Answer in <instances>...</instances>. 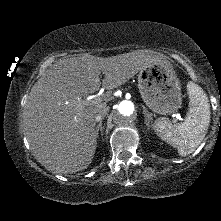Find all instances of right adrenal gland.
<instances>
[{"label": "right adrenal gland", "instance_id": "1", "mask_svg": "<svg viewBox=\"0 0 221 221\" xmlns=\"http://www.w3.org/2000/svg\"><path fill=\"white\" fill-rule=\"evenodd\" d=\"M99 130L101 132V138H103V127H102V121L99 122V124L96 126V129H95V134H96V138H99Z\"/></svg>", "mask_w": 221, "mask_h": 221}]
</instances>
